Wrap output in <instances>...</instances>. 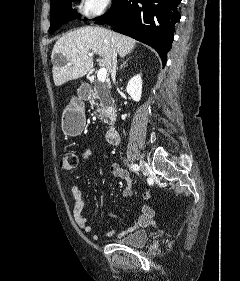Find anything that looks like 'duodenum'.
<instances>
[{
    "mask_svg": "<svg viewBox=\"0 0 240 281\" xmlns=\"http://www.w3.org/2000/svg\"><path fill=\"white\" fill-rule=\"evenodd\" d=\"M82 95L88 97L90 95V89L85 88L82 90ZM106 140L110 144H117L120 140L119 132L114 124L109 125L106 130Z\"/></svg>",
    "mask_w": 240,
    "mask_h": 281,
    "instance_id": "obj_1",
    "label": "duodenum"
}]
</instances>
